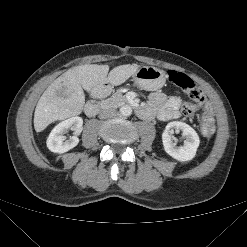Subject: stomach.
Masks as SVG:
<instances>
[{
  "mask_svg": "<svg viewBox=\"0 0 247 247\" xmlns=\"http://www.w3.org/2000/svg\"><path fill=\"white\" fill-rule=\"evenodd\" d=\"M132 77L135 84L146 90L159 89L166 81L165 72L153 66L140 67Z\"/></svg>",
  "mask_w": 247,
  "mask_h": 247,
  "instance_id": "stomach-1",
  "label": "stomach"
}]
</instances>
